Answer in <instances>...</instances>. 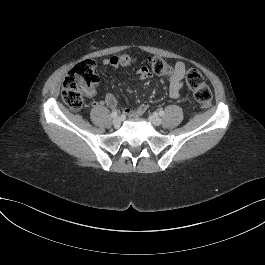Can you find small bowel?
I'll use <instances>...</instances> for the list:
<instances>
[{"label":"small bowel","instance_id":"c3829d8e","mask_svg":"<svg viewBox=\"0 0 265 265\" xmlns=\"http://www.w3.org/2000/svg\"><path fill=\"white\" fill-rule=\"evenodd\" d=\"M103 63L105 66H110V67H114V68L119 67L118 65L113 63L111 58L104 60ZM185 73H186V65L181 61L176 62V64L174 65V69L168 78V80H169V96L172 99L182 100L181 91H182L183 85H184L183 79H184ZM151 75L152 74H151L149 68L145 65L141 66L137 71V76L140 80H146V79L150 78ZM84 94L87 97L91 98L97 94V90L93 86V87L85 89ZM100 104L105 105V106L110 107V108H115L118 104V100L114 94L107 92L104 96L103 101ZM147 109H148V104L146 102H143L138 107H136L135 109H125L124 114L127 116H130V117H139L142 114H144Z\"/></svg>","mask_w":265,"mask_h":265}]
</instances>
